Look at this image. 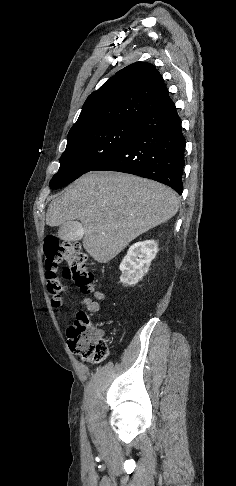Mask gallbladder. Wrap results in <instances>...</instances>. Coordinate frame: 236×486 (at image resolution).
Here are the masks:
<instances>
[{
	"mask_svg": "<svg viewBox=\"0 0 236 486\" xmlns=\"http://www.w3.org/2000/svg\"><path fill=\"white\" fill-rule=\"evenodd\" d=\"M81 235L82 225L78 221L62 224L58 230V236L64 241H78Z\"/></svg>",
	"mask_w": 236,
	"mask_h": 486,
	"instance_id": "bac80fb5",
	"label": "gallbladder"
}]
</instances>
